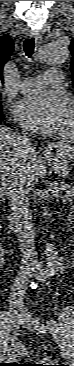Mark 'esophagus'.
<instances>
[{
    "mask_svg": "<svg viewBox=\"0 0 74 366\" xmlns=\"http://www.w3.org/2000/svg\"><path fill=\"white\" fill-rule=\"evenodd\" d=\"M29 36L33 37L38 44L41 43L42 37L38 31H30Z\"/></svg>",
    "mask_w": 74,
    "mask_h": 366,
    "instance_id": "34e87169",
    "label": "esophagus"
}]
</instances>
